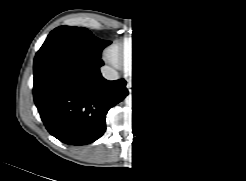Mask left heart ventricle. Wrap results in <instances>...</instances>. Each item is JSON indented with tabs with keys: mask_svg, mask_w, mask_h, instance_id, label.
Returning a JSON list of instances; mask_svg holds the SVG:
<instances>
[{
	"mask_svg": "<svg viewBox=\"0 0 246 181\" xmlns=\"http://www.w3.org/2000/svg\"><path fill=\"white\" fill-rule=\"evenodd\" d=\"M166 58L167 57L165 56L164 58L160 59V62H159V68L160 69L168 70L174 66L175 60H176L175 52H172V54L170 53L168 60L166 62H164V59H166Z\"/></svg>",
	"mask_w": 246,
	"mask_h": 181,
	"instance_id": "left-heart-ventricle-1",
	"label": "left heart ventricle"
}]
</instances>
